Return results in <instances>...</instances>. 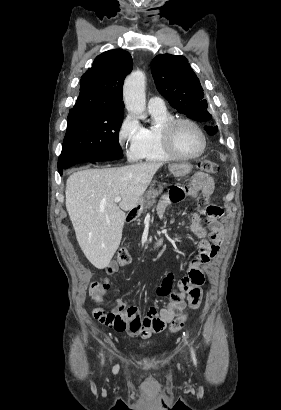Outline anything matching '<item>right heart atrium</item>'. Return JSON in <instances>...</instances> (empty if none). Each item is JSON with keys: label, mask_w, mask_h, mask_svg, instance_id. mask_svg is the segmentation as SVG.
Masks as SVG:
<instances>
[{"label": "right heart atrium", "mask_w": 281, "mask_h": 410, "mask_svg": "<svg viewBox=\"0 0 281 410\" xmlns=\"http://www.w3.org/2000/svg\"><path fill=\"white\" fill-rule=\"evenodd\" d=\"M117 137L126 157L130 161L138 160L144 138V127L135 116L127 114L123 118Z\"/></svg>", "instance_id": "obj_1"}]
</instances>
